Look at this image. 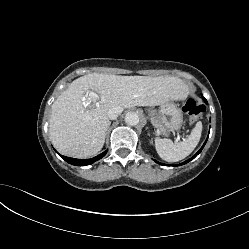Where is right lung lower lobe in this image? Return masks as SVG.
Returning a JSON list of instances; mask_svg holds the SVG:
<instances>
[{"mask_svg":"<svg viewBox=\"0 0 249 249\" xmlns=\"http://www.w3.org/2000/svg\"><path fill=\"white\" fill-rule=\"evenodd\" d=\"M107 153V150L104 151L103 153L97 155L94 158L91 159H76V158H70V157H65L60 155L66 162L72 164V165H76V166H86V165H90L92 163H94L95 161L101 159L102 157H104Z\"/></svg>","mask_w":249,"mask_h":249,"instance_id":"1","label":"right lung lower lobe"}]
</instances>
